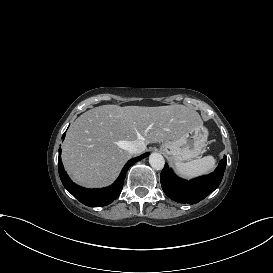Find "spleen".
<instances>
[{
    "label": "spleen",
    "mask_w": 273,
    "mask_h": 273,
    "mask_svg": "<svg viewBox=\"0 0 273 273\" xmlns=\"http://www.w3.org/2000/svg\"><path fill=\"white\" fill-rule=\"evenodd\" d=\"M217 164V157L208 156L191 162H174L176 173L186 179L191 180L211 173Z\"/></svg>",
    "instance_id": "3e777b00"
}]
</instances>
